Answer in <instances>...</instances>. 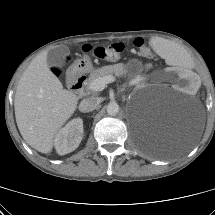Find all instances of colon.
Instances as JSON below:
<instances>
[{
  "label": "colon",
  "instance_id": "1",
  "mask_svg": "<svg viewBox=\"0 0 215 215\" xmlns=\"http://www.w3.org/2000/svg\"><path fill=\"white\" fill-rule=\"evenodd\" d=\"M135 45L139 47L142 51V54L145 57H150L151 53L144 44L141 39L135 40ZM123 44L121 43H114L108 46H99V47H92L90 45H85L83 50L85 52H92L97 58L105 59V60H114L117 59L120 53L123 51Z\"/></svg>",
  "mask_w": 215,
  "mask_h": 215
}]
</instances>
